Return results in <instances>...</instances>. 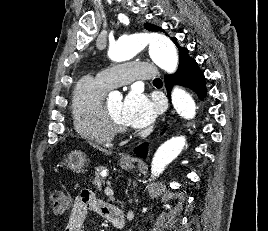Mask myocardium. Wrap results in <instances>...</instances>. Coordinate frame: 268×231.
Returning a JSON list of instances; mask_svg holds the SVG:
<instances>
[{"mask_svg":"<svg viewBox=\"0 0 268 231\" xmlns=\"http://www.w3.org/2000/svg\"><path fill=\"white\" fill-rule=\"evenodd\" d=\"M104 111L108 120V123L110 127L112 128L113 132L116 134H122L127 135L132 133V130L126 126L123 125L111 112L109 107L107 105L104 106Z\"/></svg>","mask_w":268,"mask_h":231,"instance_id":"f54148a6","label":"myocardium"}]
</instances>
